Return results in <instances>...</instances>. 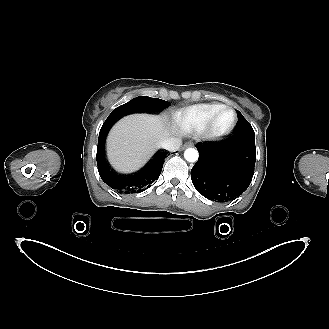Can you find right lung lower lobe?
<instances>
[{"label":"right lung lower lobe","instance_id":"1","mask_svg":"<svg viewBox=\"0 0 329 329\" xmlns=\"http://www.w3.org/2000/svg\"><path fill=\"white\" fill-rule=\"evenodd\" d=\"M115 121L106 120L99 132L96 159L100 177L108 186L119 193L140 192L150 187L159 178L167 152L159 151L147 166L133 175H120L113 172L105 159L104 145L106 135Z\"/></svg>","mask_w":329,"mask_h":329}]
</instances>
